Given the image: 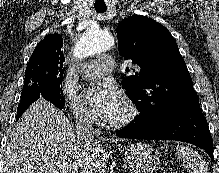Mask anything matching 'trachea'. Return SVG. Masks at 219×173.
Returning a JSON list of instances; mask_svg holds the SVG:
<instances>
[{
    "label": "trachea",
    "mask_w": 219,
    "mask_h": 173,
    "mask_svg": "<svg viewBox=\"0 0 219 173\" xmlns=\"http://www.w3.org/2000/svg\"><path fill=\"white\" fill-rule=\"evenodd\" d=\"M106 9L107 8L105 6H95V10L97 13H104Z\"/></svg>",
    "instance_id": "obj_1"
}]
</instances>
